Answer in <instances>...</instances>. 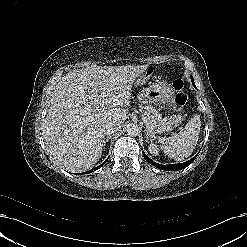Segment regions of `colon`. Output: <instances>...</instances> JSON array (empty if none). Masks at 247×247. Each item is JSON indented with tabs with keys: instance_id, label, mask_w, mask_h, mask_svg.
Segmentation results:
<instances>
[{
	"instance_id": "5ec220e1",
	"label": "colon",
	"mask_w": 247,
	"mask_h": 247,
	"mask_svg": "<svg viewBox=\"0 0 247 247\" xmlns=\"http://www.w3.org/2000/svg\"><path fill=\"white\" fill-rule=\"evenodd\" d=\"M172 87L175 92L174 108L175 110H181L187 102V94L184 83L180 79H174L172 80Z\"/></svg>"
}]
</instances>
